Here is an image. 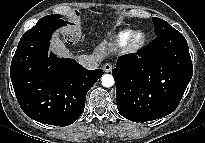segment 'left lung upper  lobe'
I'll list each match as a JSON object with an SVG mask.
<instances>
[{
	"instance_id": "5c2ea615",
	"label": "left lung upper lobe",
	"mask_w": 205,
	"mask_h": 143,
	"mask_svg": "<svg viewBox=\"0 0 205 143\" xmlns=\"http://www.w3.org/2000/svg\"><path fill=\"white\" fill-rule=\"evenodd\" d=\"M153 22L155 25L156 36L161 34H167L176 30L171 25H169L165 20H162L160 18L153 17Z\"/></svg>"
}]
</instances>
